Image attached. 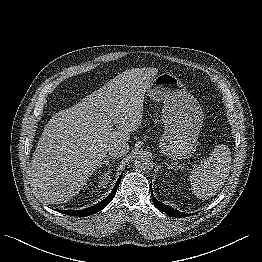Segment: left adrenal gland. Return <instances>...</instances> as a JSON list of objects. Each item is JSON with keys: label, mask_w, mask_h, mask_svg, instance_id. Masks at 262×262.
I'll return each instance as SVG.
<instances>
[{"label": "left adrenal gland", "mask_w": 262, "mask_h": 262, "mask_svg": "<svg viewBox=\"0 0 262 262\" xmlns=\"http://www.w3.org/2000/svg\"><path fill=\"white\" fill-rule=\"evenodd\" d=\"M166 165L168 166V169H172L173 168L171 165H168L167 163H166Z\"/></svg>", "instance_id": "1"}]
</instances>
